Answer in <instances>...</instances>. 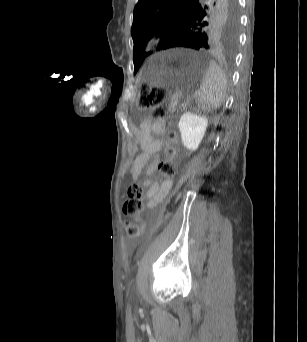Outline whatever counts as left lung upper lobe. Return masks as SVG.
I'll list each match as a JSON object with an SVG mask.
<instances>
[{
    "label": "left lung upper lobe",
    "instance_id": "1",
    "mask_svg": "<svg viewBox=\"0 0 307 342\" xmlns=\"http://www.w3.org/2000/svg\"><path fill=\"white\" fill-rule=\"evenodd\" d=\"M237 0H139L131 35L135 73L148 40L162 36L158 49L191 48L233 53L238 37Z\"/></svg>",
    "mask_w": 307,
    "mask_h": 342
}]
</instances>
